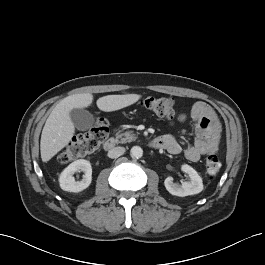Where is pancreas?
I'll return each instance as SVG.
<instances>
[{
  "label": "pancreas",
  "instance_id": "1",
  "mask_svg": "<svg viewBox=\"0 0 265 265\" xmlns=\"http://www.w3.org/2000/svg\"><path fill=\"white\" fill-rule=\"evenodd\" d=\"M137 137L131 132H124V133H117L116 135V141L117 143H127L135 141Z\"/></svg>",
  "mask_w": 265,
  "mask_h": 265
}]
</instances>
